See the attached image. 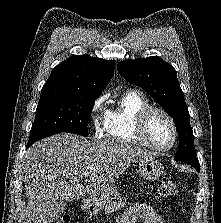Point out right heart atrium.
<instances>
[{
  "instance_id": "d8ad5b80",
  "label": "right heart atrium",
  "mask_w": 221,
  "mask_h": 223,
  "mask_svg": "<svg viewBox=\"0 0 221 223\" xmlns=\"http://www.w3.org/2000/svg\"><path fill=\"white\" fill-rule=\"evenodd\" d=\"M104 96L98 97L91 109V121L96 136H102L107 125V110L104 107Z\"/></svg>"
}]
</instances>
